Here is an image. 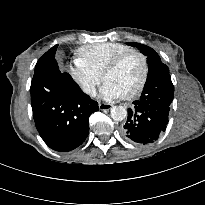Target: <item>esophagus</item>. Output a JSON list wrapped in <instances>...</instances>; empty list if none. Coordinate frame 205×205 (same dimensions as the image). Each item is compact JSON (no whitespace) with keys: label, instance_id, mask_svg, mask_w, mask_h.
I'll return each instance as SVG.
<instances>
[{"label":"esophagus","instance_id":"34e87169","mask_svg":"<svg viewBox=\"0 0 205 205\" xmlns=\"http://www.w3.org/2000/svg\"><path fill=\"white\" fill-rule=\"evenodd\" d=\"M111 108H112L111 104L99 103V109L102 111H107V110H110Z\"/></svg>","mask_w":205,"mask_h":205}]
</instances>
